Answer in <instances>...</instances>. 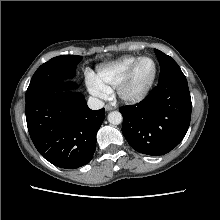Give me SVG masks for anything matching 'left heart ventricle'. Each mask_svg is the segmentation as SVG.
I'll list each match as a JSON object with an SVG mask.
<instances>
[{
    "label": "left heart ventricle",
    "mask_w": 220,
    "mask_h": 220,
    "mask_svg": "<svg viewBox=\"0 0 220 220\" xmlns=\"http://www.w3.org/2000/svg\"><path fill=\"white\" fill-rule=\"evenodd\" d=\"M154 71V64L150 59H145L137 66L133 80L130 85V91H138L143 88L150 80Z\"/></svg>",
    "instance_id": "left-heart-ventricle-1"
}]
</instances>
